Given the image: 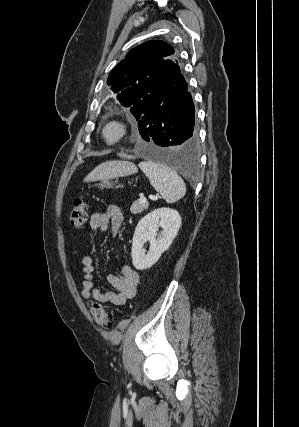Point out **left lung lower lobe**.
<instances>
[{"label":"left lung lower lobe","instance_id":"0a47b994","mask_svg":"<svg viewBox=\"0 0 299 427\" xmlns=\"http://www.w3.org/2000/svg\"><path fill=\"white\" fill-rule=\"evenodd\" d=\"M194 113V103L181 74L160 100L142 108L138 128L150 143H144L141 151L156 161L190 170L198 150Z\"/></svg>","mask_w":299,"mask_h":427}]
</instances>
